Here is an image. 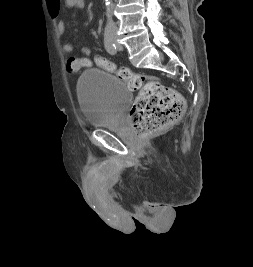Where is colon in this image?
I'll return each mask as SVG.
<instances>
[{"label":"colon","mask_w":253,"mask_h":267,"mask_svg":"<svg viewBox=\"0 0 253 267\" xmlns=\"http://www.w3.org/2000/svg\"><path fill=\"white\" fill-rule=\"evenodd\" d=\"M81 53L85 57L68 59V71L75 73L83 67L92 66L91 60L87 57L90 55L89 47L82 46ZM95 62L126 82L131 90L139 91L130 110V122L140 138L154 135L181 118L185 110V100L174 89L156 79L117 67L106 58L97 57Z\"/></svg>","instance_id":"obj_1"}]
</instances>
